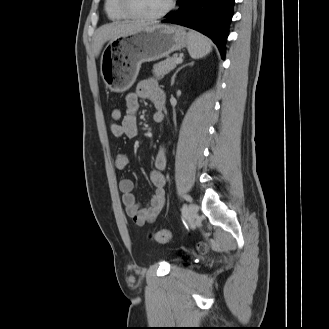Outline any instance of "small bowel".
I'll list each match as a JSON object with an SVG mask.
<instances>
[{
	"instance_id": "c3829d8e",
	"label": "small bowel",
	"mask_w": 329,
	"mask_h": 329,
	"mask_svg": "<svg viewBox=\"0 0 329 329\" xmlns=\"http://www.w3.org/2000/svg\"><path fill=\"white\" fill-rule=\"evenodd\" d=\"M141 99L151 102L155 109L154 119L162 112L165 104V94L154 80L142 81L135 92L128 94L125 98L126 114L120 123H110V131L115 137L135 138L139 129L135 113L139 108ZM129 166V159L125 154H118L115 160V167L124 171ZM166 167V156L163 149L155 158V169L150 174V180L154 186V193L146 206H141L134 194V184L129 178H122L119 181V189L122 194V202L126 214L139 226L152 222L162 211L165 205L166 178L163 170Z\"/></svg>"
}]
</instances>
